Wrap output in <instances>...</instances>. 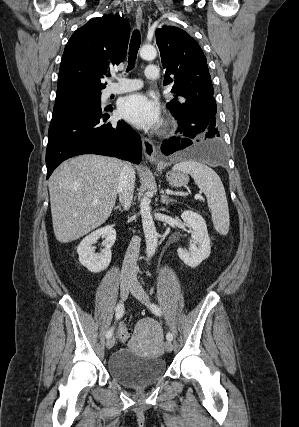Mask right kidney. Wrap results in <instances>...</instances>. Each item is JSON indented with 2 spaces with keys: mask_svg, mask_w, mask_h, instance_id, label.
<instances>
[{
  "mask_svg": "<svg viewBox=\"0 0 299 427\" xmlns=\"http://www.w3.org/2000/svg\"><path fill=\"white\" fill-rule=\"evenodd\" d=\"M100 237H104L102 246L105 248L101 250L100 253H95L93 244H95ZM115 240L116 231L112 226L108 225L92 232L86 236L77 247L80 263L92 273L103 271L111 262V247L114 245Z\"/></svg>",
  "mask_w": 299,
  "mask_h": 427,
  "instance_id": "1",
  "label": "right kidney"
}]
</instances>
